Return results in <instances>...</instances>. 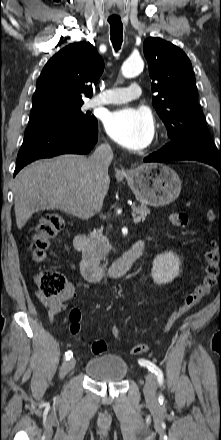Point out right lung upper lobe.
Masks as SVG:
<instances>
[{
    "instance_id": "cb5924a9",
    "label": "right lung upper lobe",
    "mask_w": 221,
    "mask_h": 440,
    "mask_svg": "<svg viewBox=\"0 0 221 440\" xmlns=\"http://www.w3.org/2000/svg\"><path fill=\"white\" fill-rule=\"evenodd\" d=\"M104 62L89 42L72 43L55 54L43 68L33 95L32 110L52 104H80L91 97Z\"/></svg>"
}]
</instances>
